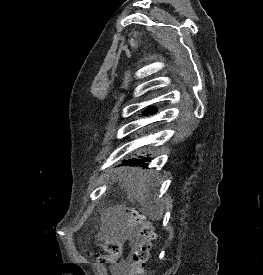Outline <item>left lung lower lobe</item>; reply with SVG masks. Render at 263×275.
<instances>
[{"mask_svg":"<svg viewBox=\"0 0 263 275\" xmlns=\"http://www.w3.org/2000/svg\"><path fill=\"white\" fill-rule=\"evenodd\" d=\"M155 109H150L145 114L153 113L155 112ZM152 159L150 157H140L139 159L132 158L128 160H124L123 163L125 165L129 166H147L146 162L151 161Z\"/></svg>","mask_w":263,"mask_h":275,"instance_id":"left-lung-lower-lobe-1","label":"left lung lower lobe"}]
</instances>
